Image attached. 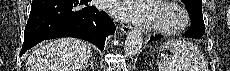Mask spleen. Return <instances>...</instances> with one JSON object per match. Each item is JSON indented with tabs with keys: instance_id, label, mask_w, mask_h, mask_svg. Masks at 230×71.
Listing matches in <instances>:
<instances>
[{
	"instance_id": "3e777b00",
	"label": "spleen",
	"mask_w": 230,
	"mask_h": 71,
	"mask_svg": "<svg viewBox=\"0 0 230 71\" xmlns=\"http://www.w3.org/2000/svg\"><path fill=\"white\" fill-rule=\"evenodd\" d=\"M171 49L168 59L158 62L159 71H206V62L198 47L186 40H169L161 50Z\"/></svg>"
}]
</instances>
